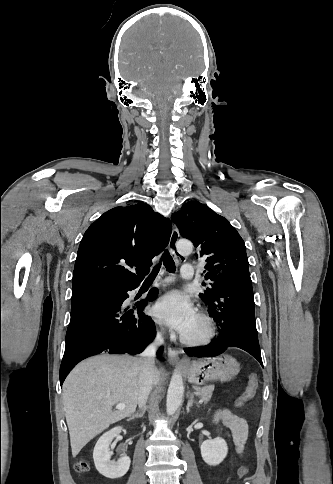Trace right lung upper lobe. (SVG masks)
<instances>
[{"label": "right lung upper lobe", "instance_id": "1", "mask_svg": "<svg viewBox=\"0 0 333 484\" xmlns=\"http://www.w3.org/2000/svg\"><path fill=\"white\" fill-rule=\"evenodd\" d=\"M171 231L170 220L144 202L105 212L90 225L80 242L73 288L139 285L149 272L152 258L168 244Z\"/></svg>", "mask_w": 333, "mask_h": 484}]
</instances>
